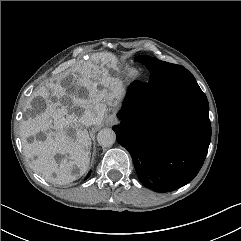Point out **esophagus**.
Segmentation results:
<instances>
[{
    "instance_id": "1",
    "label": "esophagus",
    "mask_w": 241,
    "mask_h": 241,
    "mask_svg": "<svg viewBox=\"0 0 241 241\" xmlns=\"http://www.w3.org/2000/svg\"><path fill=\"white\" fill-rule=\"evenodd\" d=\"M116 122H117V120H116L114 115H109L106 118V123L109 124V125L115 124Z\"/></svg>"
}]
</instances>
